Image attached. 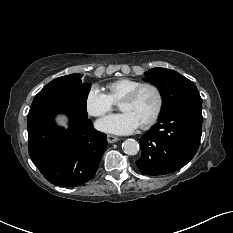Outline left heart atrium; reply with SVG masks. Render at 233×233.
<instances>
[{
	"instance_id": "1",
	"label": "left heart atrium",
	"mask_w": 233,
	"mask_h": 233,
	"mask_svg": "<svg viewBox=\"0 0 233 233\" xmlns=\"http://www.w3.org/2000/svg\"><path fill=\"white\" fill-rule=\"evenodd\" d=\"M140 122L130 112L107 116L97 122V128L113 134H129L135 131Z\"/></svg>"
}]
</instances>
